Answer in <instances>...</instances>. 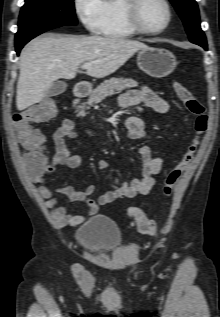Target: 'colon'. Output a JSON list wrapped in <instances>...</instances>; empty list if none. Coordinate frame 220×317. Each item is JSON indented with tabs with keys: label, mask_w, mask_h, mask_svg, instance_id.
Returning a JSON list of instances; mask_svg holds the SVG:
<instances>
[{
	"label": "colon",
	"mask_w": 220,
	"mask_h": 317,
	"mask_svg": "<svg viewBox=\"0 0 220 317\" xmlns=\"http://www.w3.org/2000/svg\"><path fill=\"white\" fill-rule=\"evenodd\" d=\"M174 90L184 107L195 117L194 128L196 137L188 152L166 175L164 193L169 196L182 174L192 163L200 143V137L207 131L208 115L204 105L194 97L191 91L181 82H174ZM57 106L54 100H43L13 116V124L21 145L26 149L25 163L36 170H41L46 164L43 150L44 139L33 123L50 120L56 114ZM128 216L143 234L154 235L158 229L155 222L147 217L138 207L128 209Z\"/></svg>",
	"instance_id": "5ec220e1"
}]
</instances>
